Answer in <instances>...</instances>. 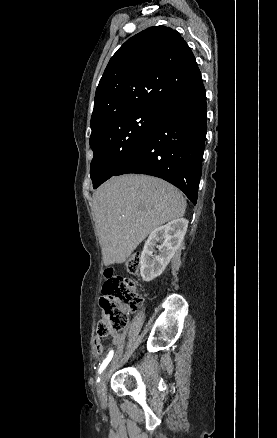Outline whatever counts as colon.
I'll return each mask as SVG.
<instances>
[{"mask_svg":"<svg viewBox=\"0 0 277 438\" xmlns=\"http://www.w3.org/2000/svg\"><path fill=\"white\" fill-rule=\"evenodd\" d=\"M140 262L132 258L127 262V271L139 272ZM106 284H99V302L103 305V320L98 334L107 336L111 331L126 327L130 313L136 312L141 303V296L135 289V283L128 277L113 275L112 268L104 271Z\"/></svg>","mask_w":277,"mask_h":438,"instance_id":"1","label":"colon"}]
</instances>
